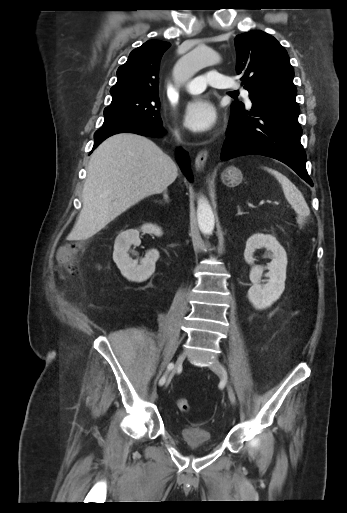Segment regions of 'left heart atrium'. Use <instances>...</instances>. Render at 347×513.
I'll return each instance as SVG.
<instances>
[{
	"mask_svg": "<svg viewBox=\"0 0 347 513\" xmlns=\"http://www.w3.org/2000/svg\"><path fill=\"white\" fill-rule=\"evenodd\" d=\"M217 113L213 103L206 97L189 101L184 110V123L194 132L209 131L216 123Z\"/></svg>",
	"mask_w": 347,
	"mask_h": 513,
	"instance_id": "39dd6f15",
	"label": "left heart atrium"
}]
</instances>
